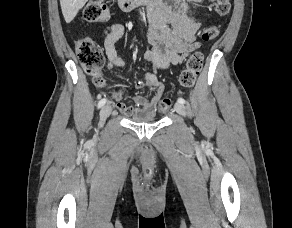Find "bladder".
<instances>
[{
    "mask_svg": "<svg viewBox=\"0 0 292 228\" xmlns=\"http://www.w3.org/2000/svg\"><path fill=\"white\" fill-rule=\"evenodd\" d=\"M132 122L135 123H154L158 120L155 116H146V115H134L130 118Z\"/></svg>",
    "mask_w": 292,
    "mask_h": 228,
    "instance_id": "obj_1",
    "label": "bladder"
}]
</instances>
